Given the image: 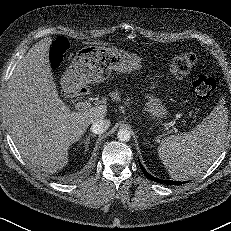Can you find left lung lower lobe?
<instances>
[{
    "instance_id": "obj_1",
    "label": "left lung lower lobe",
    "mask_w": 231,
    "mask_h": 231,
    "mask_svg": "<svg viewBox=\"0 0 231 231\" xmlns=\"http://www.w3.org/2000/svg\"><path fill=\"white\" fill-rule=\"evenodd\" d=\"M139 164H140V161H139ZM141 165V164H140ZM141 167V170L143 171V173L145 174V176L154 181V182H158V183H162V184H166V185H179V184H182V182H177V181H170V180H162V179H158V178H155L153 176H151L145 169L144 167L140 166Z\"/></svg>"
}]
</instances>
